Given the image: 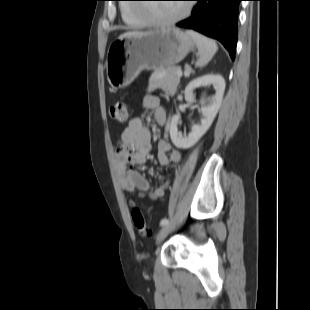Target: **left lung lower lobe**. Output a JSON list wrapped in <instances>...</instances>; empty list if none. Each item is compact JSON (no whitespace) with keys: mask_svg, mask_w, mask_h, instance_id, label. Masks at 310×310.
Returning a JSON list of instances; mask_svg holds the SVG:
<instances>
[{"mask_svg":"<svg viewBox=\"0 0 310 310\" xmlns=\"http://www.w3.org/2000/svg\"><path fill=\"white\" fill-rule=\"evenodd\" d=\"M192 16L177 23L178 27L196 30L220 41L235 59L239 3L242 0H194Z\"/></svg>","mask_w":310,"mask_h":310,"instance_id":"left-lung-lower-lobe-1","label":"left lung lower lobe"}]
</instances>
